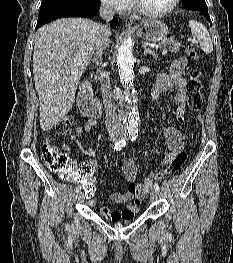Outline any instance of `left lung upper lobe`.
I'll return each instance as SVG.
<instances>
[{
  "instance_id": "1",
  "label": "left lung upper lobe",
  "mask_w": 233,
  "mask_h": 263,
  "mask_svg": "<svg viewBox=\"0 0 233 263\" xmlns=\"http://www.w3.org/2000/svg\"><path fill=\"white\" fill-rule=\"evenodd\" d=\"M182 1L184 8L188 10L202 11L207 9L205 0H182Z\"/></svg>"
}]
</instances>
